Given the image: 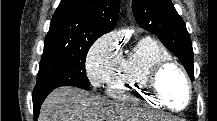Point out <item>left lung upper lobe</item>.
<instances>
[{"instance_id": "1", "label": "left lung upper lobe", "mask_w": 217, "mask_h": 121, "mask_svg": "<svg viewBox=\"0 0 217 121\" xmlns=\"http://www.w3.org/2000/svg\"><path fill=\"white\" fill-rule=\"evenodd\" d=\"M132 9L137 23L143 29L157 35L180 59L193 81L192 43L186 25L171 0H133Z\"/></svg>"}]
</instances>
